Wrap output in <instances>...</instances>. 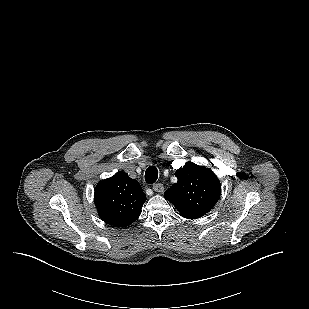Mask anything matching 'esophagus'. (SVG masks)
<instances>
[{"label":"esophagus","mask_w":309,"mask_h":309,"mask_svg":"<svg viewBox=\"0 0 309 309\" xmlns=\"http://www.w3.org/2000/svg\"><path fill=\"white\" fill-rule=\"evenodd\" d=\"M153 190L156 192H163L164 191V186L162 183H156L153 185Z\"/></svg>","instance_id":"1"}]
</instances>
